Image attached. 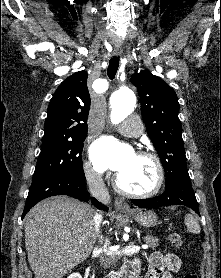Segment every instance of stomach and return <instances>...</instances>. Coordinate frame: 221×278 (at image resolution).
Instances as JSON below:
<instances>
[{
	"mask_svg": "<svg viewBox=\"0 0 221 278\" xmlns=\"http://www.w3.org/2000/svg\"><path fill=\"white\" fill-rule=\"evenodd\" d=\"M127 213L144 227H154L158 223V217L153 211H129Z\"/></svg>",
	"mask_w": 221,
	"mask_h": 278,
	"instance_id": "1",
	"label": "stomach"
}]
</instances>
